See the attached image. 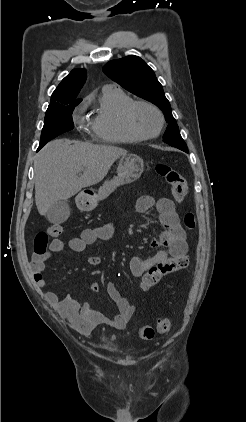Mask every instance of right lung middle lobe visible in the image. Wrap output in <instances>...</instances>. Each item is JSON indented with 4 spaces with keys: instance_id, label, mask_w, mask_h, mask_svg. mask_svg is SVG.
Masks as SVG:
<instances>
[{
    "instance_id": "dd1d6c3e",
    "label": "right lung middle lobe",
    "mask_w": 246,
    "mask_h": 422,
    "mask_svg": "<svg viewBox=\"0 0 246 422\" xmlns=\"http://www.w3.org/2000/svg\"><path fill=\"white\" fill-rule=\"evenodd\" d=\"M80 102H69L48 107L41 133L39 149L51 139L74 127L72 112Z\"/></svg>"
}]
</instances>
